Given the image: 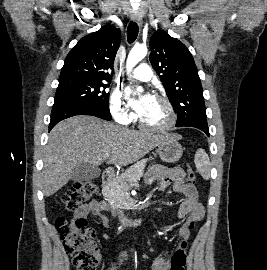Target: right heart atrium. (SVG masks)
<instances>
[{
    "label": "right heart atrium",
    "instance_id": "1",
    "mask_svg": "<svg viewBox=\"0 0 267 270\" xmlns=\"http://www.w3.org/2000/svg\"><path fill=\"white\" fill-rule=\"evenodd\" d=\"M110 111L116 121L128 124L133 120V114L124 103L121 94L114 92L110 99Z\"/></svg>",
    "mask_w": 267,
    "mask_h": 270
}]
</instances>
